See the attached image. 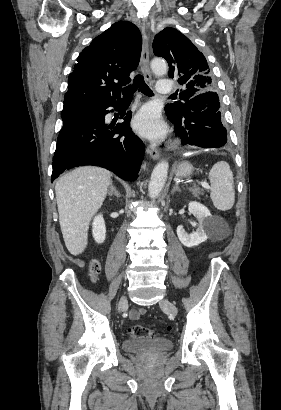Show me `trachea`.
Here are the masks:
<instances>
[{"label":"trachea","instance_id":"obj_1","mask_svg":"<svg viewBox=\"0 0 281 410\" xmlns=\"http://www.w3.org/2000/svg\"><path fill=\"white\" fill-rule=\"evenodd\" d=\"M139 89L144 95L146 96H153L152 90L148 87L145 83L144 78L141 74H138L134 78V83L129 85L123 89V97L124 99H131L134 92ZM172 97V96H170Z\"/></svg>","mask_w":281,"mask_h":410}]
</instances>
